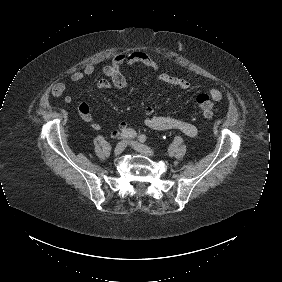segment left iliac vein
<instances>
[{
	"label": "left iliac vein",
	"mask_w": 282,
	"mask_h": 282,
	"mask_svg": "<svg viewBox=\"0 0 282 282\" xmlns=\"http://www.w3.org/2000/svg\"><path fill=\"white\" fill-rule=\"evenodd\" d=\"M130 145L138 152H140L143 155L149 156V157H153L154 156V151L143 144H140L138 142L132 141L130 142Z\"/></svg>",
	"instance_id": "4c4485c4"
}]
</instances>
